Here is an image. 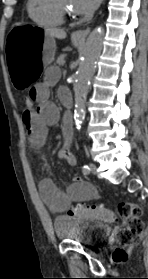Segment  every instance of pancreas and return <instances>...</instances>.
<instances>
[{
    "instance_id": "cf45deb5",
    "label": "pancreas",
    "mask_w": 148,
    "mask_h": 279,
    "mask_svg": "<svg viewBox=\"0 0 148 279\" xmlns=\"http://www.w3.org/2000/svg\"><path fill=\"white\" fill-rule=\"evenodd\" d=\"M65 54H62V55H60L58 58H57V64H59V65H63L64 64V58H65Z\"/></svg>"
}]
</instances>
